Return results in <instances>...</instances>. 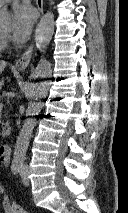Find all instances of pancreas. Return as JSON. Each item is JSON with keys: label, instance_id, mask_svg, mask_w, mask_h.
<instances>
[{"label": "pancreas", "instance_id": "obj_1", "mask_svg": "<svg viewBox=\"0 0 128 213\" xmlns=\"http://www.w3.org/2000/svg\"><path fill=\"white\" fill-rule=\"evenodd\" d=\"M1 97H0V104L2 103L1 102ZM3 128H2V136H6V135H10L11 133V127L9 126V121H6L5 123H3Z\"/></svg>", "mask_w": 128, "mask_h": 213}]
</instances>
